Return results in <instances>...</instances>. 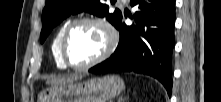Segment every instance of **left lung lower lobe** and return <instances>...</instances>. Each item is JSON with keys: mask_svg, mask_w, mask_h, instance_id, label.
<instances>
[{"mask_svg": "<svg viewBox=\"0 0 221 102\" xmlns=\"http://www.w3.org/2000/svg\"><path fill=\"white\" fill-rule=\"evenodd\" d=\"M130 5L137 8L134 25L120 21L115 52L89 72L121 70L147 74L158 79L171 96L175 0H131Z\"/></svg>", "mask_w": 221, "mask_h": 102, "instance_id": "1", "label": "left lung lower lobe"}]
</instances>
